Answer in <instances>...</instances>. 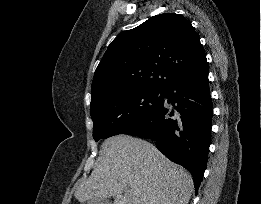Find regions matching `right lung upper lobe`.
Returning <instances> with one entry per match:
<instances>
[{
    "label": "right lung upper lobe",
    "instance_id": "obj_1",
    "mask_svg": "<svg viewBox=\"0 0 261 204\" xmlns=\"http://www.w3.org/2000/svg\"><path fill=\"white\" fill-rule=\"evenodd\" d=\"M204 59L190 22L175 13L153 16L108 46L94 73L90 107L119 91H162Z\"/></svg>",
    "mask_w": 261,
    "mask_h": 204
}]
</instances>
